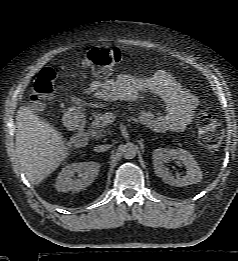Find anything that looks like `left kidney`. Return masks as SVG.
<instances>
[{
    "label": "left kidney",
    "mask_w": 238,
    "mask_h": 261,
    "mask_svg": "<svg viewBox=\"0 0 238 261\" xmlns=\"http://www.w3.org/2000/svg\"><path fill=\"white\" fill-rule=\"evenodd\" d=\"M152 156L155 174L169 185L182 187L196 184L202 180V171L192 154L187 150L157 148L153 151ZM170 159H179L182 161L187 169V174L182 178L171 176L164 166V163Z\"/></svg>",
    "instance_id": "obj_1"
}]
</instances>
